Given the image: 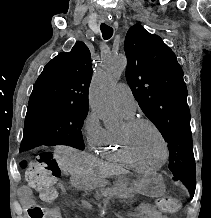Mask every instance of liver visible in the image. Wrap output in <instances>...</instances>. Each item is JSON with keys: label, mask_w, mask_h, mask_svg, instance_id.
<instances>
[{"label": "liver", "mask_w": 211, "mask_h": 218, "mask_svg": "<svg viewBox=\"0 0 211 218\" xmlns=\"http://www.w3.org/2000/svg\"><path fill=\"white\" fill-rule=\"evenodd\" d=\"M57 162L61 170H66L71 176H89L91 174L95 162H97L94 156L90 154H85V152H79V150H74V148H68V146H58L55 150ZM111 174L112 170H108ZM117 172V170H113Z\"/></svg>", "instance_id": "1"}]
</instances>
